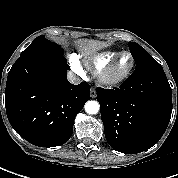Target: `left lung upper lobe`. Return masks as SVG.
Returning <instances> with one entry per match:
<instances>
[{"mask_svg":"<svg viewBox=\"0 0 178 178\" xmlns=\"http://www.w3.org/2000/svg\"><path fill=\"white\" fill-rule=\"evenodd\" d=\"M128 46L136 63L134 73L151 67L160 66V64L139 44L128 42Z\"/></svg>","mask_w":178,"mask_h":178,"instance_id":"1","label":"left lung upper lobe"}]
</instances>
